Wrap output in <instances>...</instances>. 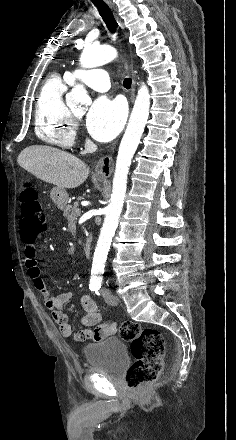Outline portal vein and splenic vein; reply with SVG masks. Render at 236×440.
Here are the masks:
<instances>
[{
	"label": "portal vein and splenic vein",
	"instance_id": "portal-vein-and-splenic-vein-1",
	"mask_svg": "<svg viewBox=\"0 0 236 440\" xmlns=\"http://www.w3.org/2000/svg\"><path fill=\"white\" fill-rule=\"evenodd\" d=\"M76 213H77L78 215H80V213H81L80 209H77V210H76Z\"/></svg>",
	"mask_w": 236,
	"mask_h": 440
}]
</instances>
